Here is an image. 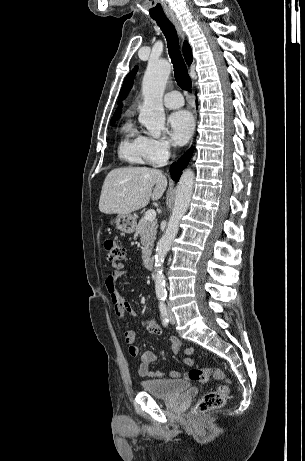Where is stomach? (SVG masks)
I'll list each match as a JSON object with an SVG mask.
<instances>
[{
  "mask_svg": "<svg viewBox=\"0 0 305 461\" xmlns=\"http://www.w3.org/2000/svg\"><path fill=\"white\" fill-rule=\"evenodd\" d=\"M111 223H115L116 228L126 234H131L136 229V218L131 214H118Z\"/></svg>",
  "mask_w": 305,
  "mask_h": 461,
  "instance_id": "obj_1",
  "label": "stomach"
}]
</instances>
